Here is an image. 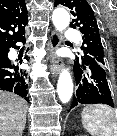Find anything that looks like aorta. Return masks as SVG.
<instances>
[{"label":"aorta","instance_id":"762f6f07","mask_svg":"<svg viewBox=\"0 0 117 136\" xmlns=\"http://www.w3.org/2000/svg\"><path fill=\"white\" fill-rule=\"evenodd\" d=\"M52 21L58 31L65 30L70 23V15L63 8H57L53 11ZM57 93L62 103H68L73 94V81L67 69H64L58 79Z\"/></svg>","mask_w":117,"mask_h":136}]
</instances>
